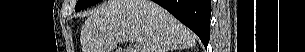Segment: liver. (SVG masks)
Segmentation results:
<instances>
[{
	"instance_id": "1",
	"label": "liver",
	"mask_w": 305,
	"mask_h": 52,
	"mask_svg": "<svg viewBox=\"0 0 305 52\" xmlns=\"http://www.w3.org/2000/svg\"><path fill=\"white\" fill-rule=\"evenodd\" d=\"M127 41L133 47L123 52H169L193 47L196 37L150 0H108L90 13L81 29L83 52H113Z\"/></svg>"
}]
</instances>
